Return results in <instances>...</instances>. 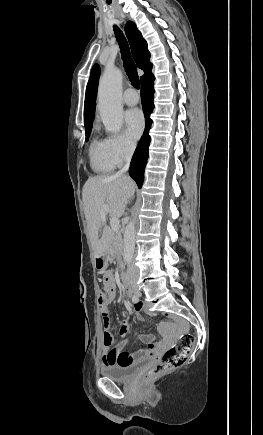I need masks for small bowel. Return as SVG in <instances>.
Returning <instances> with one entry per match:
<instances>
[{
    "label": "small bowel",
    "mask_w": 263,
    "mask_h": 435,
    "mask_svg": "<svg viewBox=\"0 0 263 435\" xmlns=\"http://www.w3.org/2000/svg\"><path fill=\"white\" fill-rule=\"evenodd\" d=\"M104 284V300L100 303L102 324L103 328H110L111 320L108 306L112 303L117 295L114 275L112 272L107 271L103 276ZM144 307L142 303L134 306L133 318L137 321H143ZM129 327L127 321H124L119 328V335L123 339L118 343L113 350H103V363L105 366L111 365H127L137 362L146 357H154L160 354L170 341H156L155 337L151 334H142L141 340L144 346H140L134 352H127L124 350L128 343L127 335Z\"/></svg>",
    "instance_id": "obj_1"
}]
</instances>
